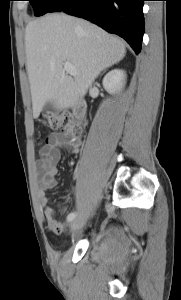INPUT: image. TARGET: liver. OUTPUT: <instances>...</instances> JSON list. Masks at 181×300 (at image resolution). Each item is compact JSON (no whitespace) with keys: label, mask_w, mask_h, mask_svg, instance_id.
<instances>
[{"label":"liver","mask_w":181,"mask_h":300,"mask_svg":"<svg viewBox=\"0 0 181 300\" xmlns=\"http://www.w3.org/2000/svg\"><path fill=\"white\" fill-rule=\"evenodd\" d=\"M25 50L34 118L47 102L57 109L72 107L103 70L126 54L118 37L86 20L58 13L27 24ZM65 62L75 67V76L65 73Z\"/></svg>","instance_id":"obj_1"}]
</instances>
